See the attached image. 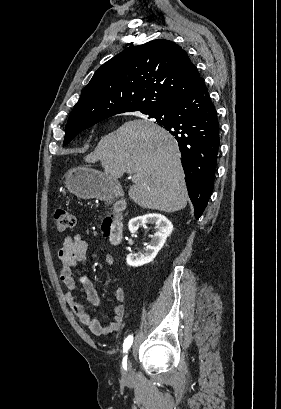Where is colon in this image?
Instances as JSON below:
<instances>
[{"label":"colon","mask_w":281,"mask_h":409,"mask_svg":"<svg viewBox=\"0 0 281 409\" xmlns=\"http://www.w3.org/2000/svg\"><path fill=\"white\" fill-rule=\"evenodd\" d=\"M56 230L59 233H65L74 226L75 220L73 214L63 208H57L52 215Z\"/></svg>","instance_id":"1"}]
</instances>
